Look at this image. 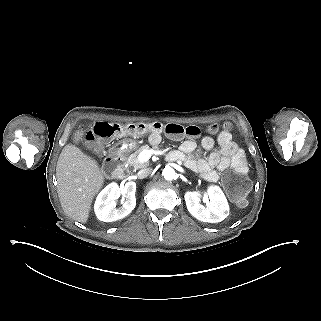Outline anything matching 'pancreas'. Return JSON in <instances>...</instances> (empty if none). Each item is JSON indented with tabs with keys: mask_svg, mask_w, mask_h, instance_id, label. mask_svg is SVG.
Returning <instances> with one entry per match:
<instances>
[{
	"mask_svg": "<svg viewBox=\"0 0 321 321\" xmlns=\"http://www.w3.org/2000/svg\"><path fill=\"white\" fill-rule=\"evenodd\" d=\"M153 149L158 150L159 147H154ZM144 150H150V147L148 145H143L129 156L128 164L130 167L137 170L149 166V162H140L138 159V155Z\"/></svg>",
	"mask_w": 321,
	"mask_h": 321,
	"instance_id": "obj_1",
	"label": "pancreas"
}]
</instances>
